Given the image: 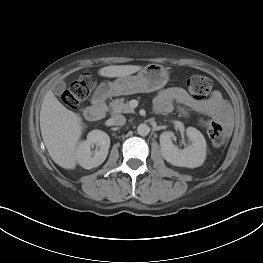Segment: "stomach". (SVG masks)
<instances>
[{
    "instance_id": "obj_1",
    "label": "stomach",
    "mask_w": 263,
    "mask_h": 263,
    "mask_svg": "<svg viewBox=\"0 0 263 263\" xmlns=\"http://www.w3.org/2000/svg\"><path fill=\"white\" fill-rule=\"evenodd\" d=\"M169 75L162 65L149 64L137 75L120 76L113 82L103 81L97 88L98 96H118L135 93H149L161 89L168 82Z\"/></svg>"
}]
</instances>
